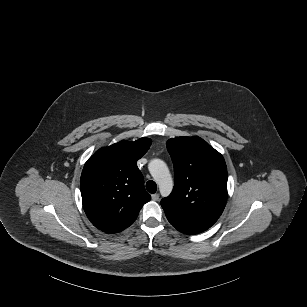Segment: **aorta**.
<instances>
[{
  "instance_id": "1",
  "label": "aorta",
  "mask_w": 307,
  "mask_h": 307,
  "mask_svg": "<svg viewBox=\"0 0 307 307\" xmlns=\"http://www.w3.org/2000/svg\"><path fill=\"white\" fill-rule=\"evenodd\" d=\"M148 171L159 186V192L162 198H167L172 193L174 184L166 162L160 158L149 160Z\"/></svg>"
}]
</instances>
